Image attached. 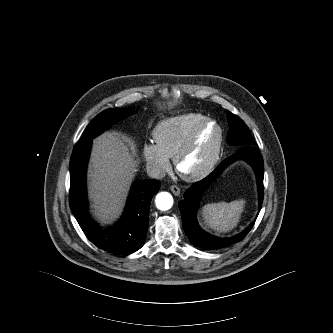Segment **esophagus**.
<instances>
[{
    "label": "esophagus",
    "mask_w": 333,
    "mask_h": 333,
    "mask_svg": "<svg viewBox=\"0 0 333 333\" xmlns=\"http://www.w3.org/2000/svg\"><path fill=\"white\" fill-rule=\"evenodd\" d=\"M170 190L172 191V193L174 194V195H176V196H179L180 195V188L178 187V186H176V185H172L171 187H170Z\"/></svg>",
    "instance_id": "1"
}]
</instances>
